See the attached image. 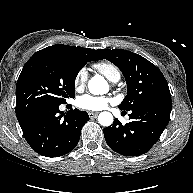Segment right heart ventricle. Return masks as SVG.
<instances>
[{
	"label": "right heart ventricle",
	"instance_id": "right-heart-ventricle-1",
	"mask_svg": "<svg viewBox=\"0 0 193 193\" xmlns=\"http://www.w3.org/2000/svg\"><path fill=\"white\" fill-rule=\"evenodd\" d=\"M94 68L112 82L118 81L121 77L119 68L111 62L104 61L96 63Z\"/></svg>",
	"mask_w": 193,
	"mask_h": 193
}]
</instances>
